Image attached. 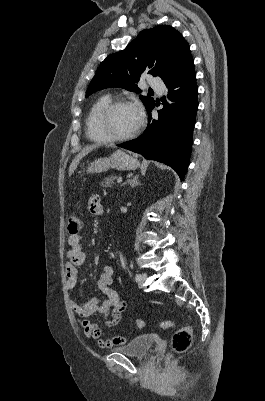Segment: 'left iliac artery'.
<instances>
[{
  "label": "left iliac artery",
  "mask_w": 265,
  "mask_h": 401,
  "mask_svg": "<svg viewBox=\"0 0 265 401\" xmlns=\"http://www.w3.org/2000/svg\"><path fill=\"white\" fill-rule=\"evenodd\" d=\"M135 280H136V281H138V274H136V276H135Z\"/></svg>",
  "instance_id": "obj_1"
}]
</instances>
